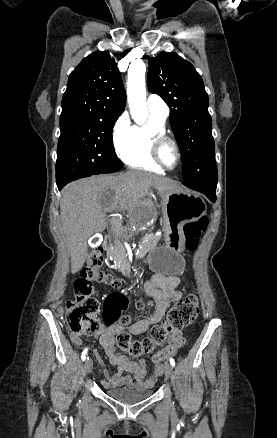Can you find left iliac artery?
<instances>
[{
	"label": "left iliac artery",
	"mask_w": 277,
	"mask_h": 438,
	"mask_svg": "<svg viewBox=\"0 0 277 438\" xmlns=\"http://www.w3.org/2000/svg\"><path fill=\"white\" fill-rule=\"evenodd\" d=\"M170 364L174 367L175 366V361L173 358H170Z\"/></svg>",
	"instance_id": "44dca946"
}]
</instances>
